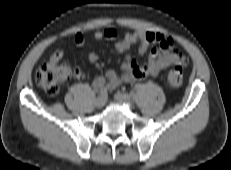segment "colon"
<instances>
[{"label": "colon", "instance_id": "colon-1", "mask_svg": "<svg viewBox=\"0 0 231 170\" xmlns=\"http://www.w3.org/2000/svg\"><path fill=\"white\" fill-rule=\"evenodd\" d=\"M79 69L70 70L65 64L47 61L43 63L35 73L37 84L49 95H56L63 83L72 77H80ZM168 85L172 89H178L183 83V71L180 66H174L167 75Z\"/></svg>", "mask_w": 231, "mask_h": 170}]
</instances>
